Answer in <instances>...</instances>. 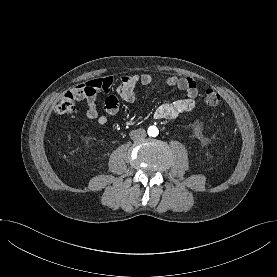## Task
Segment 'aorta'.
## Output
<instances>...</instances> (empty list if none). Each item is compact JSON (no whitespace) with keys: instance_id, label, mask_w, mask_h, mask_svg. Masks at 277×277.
<instances>
[{"instance_id":"762f6f07","label":"aorta","mask_w":277,"mask_h":277,"mask_svg":"<svg viewBox=\"0 0 277 277\" xmlns=\"http://www.w3.org/2000/svg\"><path fill=\"white\" fill-rule=\"evenodd\" d=\"M159 134V130L156 126H150L148 128V135L151 137H156Z\"/></svg>"}]
</instances>
